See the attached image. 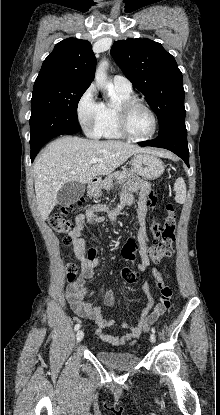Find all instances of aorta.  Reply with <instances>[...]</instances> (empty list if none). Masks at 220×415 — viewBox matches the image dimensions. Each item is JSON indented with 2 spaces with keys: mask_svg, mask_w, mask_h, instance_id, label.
I'll return each instance as SVG.
<instances>
[{
  "mask_svg": "<svg viewBox=\"0 0 220 415\" xmlns=\"http://www.w3.org/2000/svg\"><path fill=\"white\" fill-rule=\"evenodd\" d=\"M107 68H108V62L102 61L97 67L96 73H95L96 85L103 89H106L109 86L107 82V73H106Z\"/></svg>",
  "mask_w": 220,
  "mask_h": 415,
  "instance_id": "aorta-1",
  "label": "aorta"
}]
</instances>
